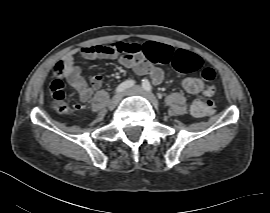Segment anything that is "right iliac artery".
<instances>
[{"mask_svg":"<svg viewBox=\"0 0 270 213\" xmlns=\"http://www.w3.org/2000/svg\"><path fill=\"white\" fill-rule=\"evenodd\" d=\"M135 84L134 80H126L122 82L115 90V93H121L125 91L126 89L132 87Z\"/></svg>","mask_w":270,"mask_h":213,"instance_id":"82829eb1","label":"right iliac artery"}]
</instances>
